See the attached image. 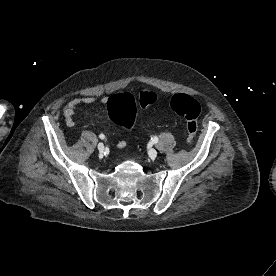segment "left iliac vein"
<instances>
[{
	"label": "left iliac vein",
	"mask_w": 276,
	"mask_h": 276,
	"mask_svg": "<svg viewBox=\"0 0 276 276\" xmlns=\"http://www.w3.org/2000/svg\"><path fill=\"white\" fill-rule=\"evenodd\" d=\"M148 155L151 159H155L157 157V151L155 149H150Z\"/></svg>",
	"instance_id": "left-iliac-vein-1"
}]
</instances>
